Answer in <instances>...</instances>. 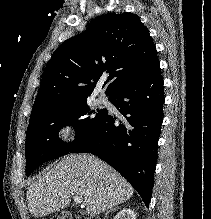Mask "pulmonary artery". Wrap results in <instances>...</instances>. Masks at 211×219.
<instances>
[{"label": "pulmonary artery", "instance_id": "pulmonary-artery-1", "mask_svg": "<svg viewBox=\"0 0 211 219\" xmlns=\"http://www.w3.org/2000/svg\"><path fill=\"white\" fill-rule=\"evenodd\" d=\"M107 101L103 96H100L97 98V103L98 104H105Z\"/></svg>", "mask_w": 211, "mask_h": 219}]
</instances>
